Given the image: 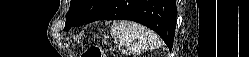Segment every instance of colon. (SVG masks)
<instances>
[{"label":"colon","instance_id":"obj_1","mask_svg":"<svg viewBox=\"0 0 249 57\" xmlns=\"http://www.w3.org/2000/svg\"><path fill=\"white\" fill-rule=\"evenodd\" d=\"M82 57H105L102 50L97 47H90L83 52Z\"/></svg>","mask_w":249,"mask_h":57}]
</instances>
